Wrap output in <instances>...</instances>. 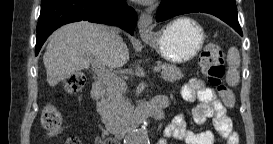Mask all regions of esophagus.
I'll use <instances>...</instances> for the list:
<instances>
[{
	"mask_svg": "<svg viewBox=\"0 0 273 144\" xmlns=\"http://www.w3.org/2000/svg\"><path fill=\"white\" fill-rule=\"evenodd\" d=\"M152 16L147 13H141L138 22V30L141 36L151 34Z\"/></svg>",
	"mask_w": 273,
	"mask_h": 144,
	"instance_id": "obj_1",
	"label": "esophagus"
}]
</instances>
